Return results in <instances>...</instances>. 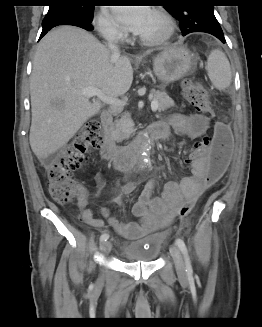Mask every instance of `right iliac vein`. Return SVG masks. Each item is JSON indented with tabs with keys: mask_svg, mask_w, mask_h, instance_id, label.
Listing matches in <instances>:
<instances>
[{
	"mask_svg": "<svg viewBox=\"0 0 262 327\" xmlns=\"http://www.w3.org/2000/svg\"><path fill=\"white\" fill-rule=\"evenodd\" d=\"M111 248L112 244L110 241L103 242L100 247L103 254H107L108 252H110Z\"/></svg>",
	"mask_w": 262,
	"mask_h": 327,
	"instance_id": "obj_1",
	"label": "right iliac vein"
}]
</instances>
